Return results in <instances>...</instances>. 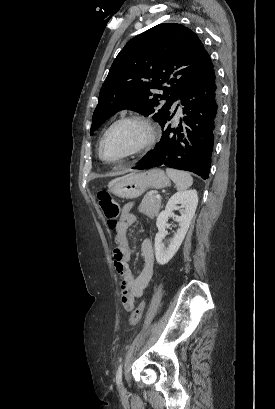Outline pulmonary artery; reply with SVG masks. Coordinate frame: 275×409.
Wrapping results in <instances>:
<instances>
[{
	"instance_id": "pulmonary-artery-1",
	"label": "pulmonary artery",
	"mask_w": 275,
	"mask_h": 409,
	"mask_svg": "<svg viewBox=\"0 0 275 409\" xmlns=\"http://www.w3.org/2000/svg\"><path fill=\"white\" fill-rule=\"evenodd\" d=\"M175 105H178V106H179V109H178V114H180V113H181V105H180V101L178 100V101L175 103Z\"/></svg>"
}]
</instances>
